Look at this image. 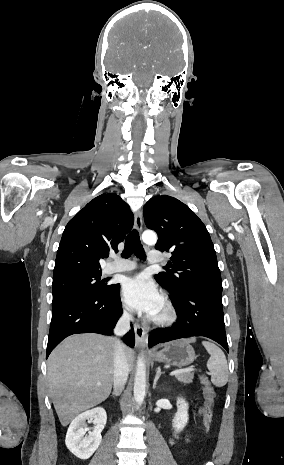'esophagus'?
<instances>
[{
	"instance_id": "1",
	"label": "esophagus",
	"mask_w": 284,
	"mask_h": 465,
	"mask_svg": "<svg viewBox=\"0 0 284 465\" xmlns=\"http://www.w3.org/2000/svg\"><path fill=\"white\" fill-rule=\"evenodd\" d=\"M134 225H135V228L138 230V232L142 231L143 222H142V212H141V210H138L137 212H135ZM134 333H135L136 344L139 347L145 346L146 345V333H147L146 329L143 328L138 323H135L134 324Z\"/></svg>"
}]
</instances>
